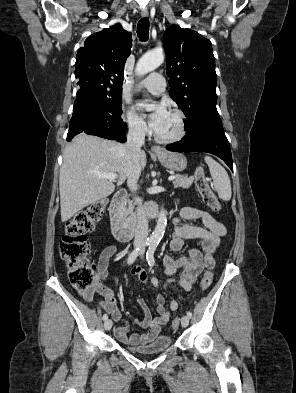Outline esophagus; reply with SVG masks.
Segmentation results:
<instances>
[{"label":"esophagus","instance_id":"34e87169","mask_svg":"<svg viewBox=\"0 0 296 393\" xmlns=\"http://www.w3.org/2000/svg\"><path fill=\"white\" fill-rule=\"evenodd\" d=\"M148 15H149V12L147 10H142L141 11V16L142 17L146 18V17H148ZM151 150L154 153H161L162 152V148L160 146H153L151 148Z\"/></svg>","mask_w":296,"mask_h":393}]
</instances>
